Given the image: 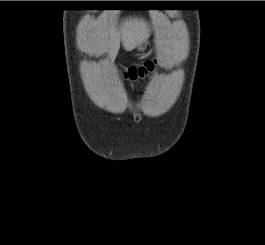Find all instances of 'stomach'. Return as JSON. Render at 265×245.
Segmentation results:
<instances>
[{
	"mask_svg": "<svg viewBox=\"0 0 265 245\" xmlns=\"http://www.w3.org/2000/svg\"><path fill=\"white\" fill-rule=\"evenodd\" d=\"M148 42L147 41H144L142 42L139 46H138V49L139 50H144L147 46Z\"/></svg>",
	"mask_w": 265,
	"mask_h": 245,
	"instance_id": "obj_1",
	"label": "stomach"
}]
</instances>
